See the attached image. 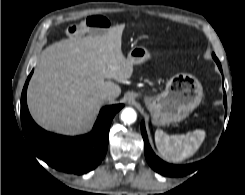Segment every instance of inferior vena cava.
Returning <instances> with one entry per match:
<instances>
[{
  "label": "inferior vena cava",
  "instance_id": "602c4592",
  "mask_svg": "<svg viewBox=\"0 0 245 195\" xmlns=\"http://www.w3.org/2000/svg\"><path fill=\"white\" fill-rule=\"evenodd\" d=\"M112 98V95L110 93H103L101 95L102 100H110Z\"/></svg>",
  "mask_w": 245,
  "mask_h": 195
}]
</instances>
